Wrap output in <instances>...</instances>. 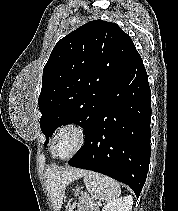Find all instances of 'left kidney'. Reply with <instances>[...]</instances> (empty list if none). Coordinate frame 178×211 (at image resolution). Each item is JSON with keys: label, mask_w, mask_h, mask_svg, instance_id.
<instances>
[{"label": "left kidney", "mask_w": 178, "mask_h": 211, "mask_svg": "<svg viewBox=\"0 0 178 211\" xmlns=\"http://www.w3.org/2000/svg\"><path fill=\"white\" fill-rule=\"evenodd\" d=\"M133 204L132 196H126L119 199L109 201L102 209V211H131Z\"/></svg>", "instance_id": "1"}]
</instances>
